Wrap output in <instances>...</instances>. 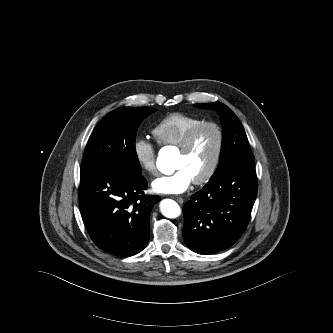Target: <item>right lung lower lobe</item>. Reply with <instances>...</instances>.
<instances>
[{"label":"right lung lower lobe","instance_id":"right-lung-lower-lobe-1","mask_svg":"<svg viewBox=\"0 0 333 333\" xmlns=\"http://www.w3.org/2000/svg\"><path fill=\"white\" fill-rule=\"evenodd\" d=\"M79 201L93 242L119 257L141 252L148 241L151 210L159 196L144 194L147 181L118 168H81Z\"/></svg>","mask_w":333,"mask_h":333}]
</instances>
